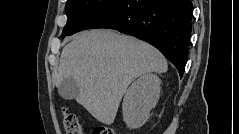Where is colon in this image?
Segmentation results:
<instances>
[{
	"label": "colon",
	"mask_w": 239,
	"mask_h": 134,
	"mask_svg": "<svg viewBox=\"0 0 239 134\" xmlns=\"http://www.w3.org/2000/svg\"><path fill=\"white\" fill-rule=\"evenodd\" d=\"M62 117L68 134H81L80 124L74 113L63 108ZM93 134H116V132L111 128L100 126L94 129Z\"/></svg>",
	"instance_id": "1"
}]
</instances>
